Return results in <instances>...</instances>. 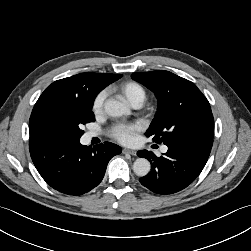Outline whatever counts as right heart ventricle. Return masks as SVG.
Here are the masks:
<instances>
[{"mask_svg":"<svg viewBox=\"0 0 251 251\" xmlns=\"http://www.w3.org/2000/svg\"><path fill=\"white\" fill-rule=\"evenodd\" d=\"M120 92L132 104H142L146 98L144 87L135 81H127L119 86Z\"/></svg>","mask_w":251,"mask_h":251,"instance_id":"1","label":"right heart ventricle"}]
</instances>
